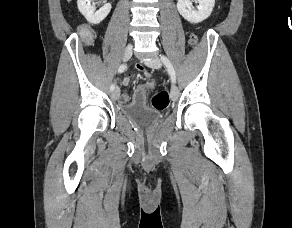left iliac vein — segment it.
Segmentation results:
<instances>
[{"instance_id": "obj_1", "label": "left iliac vein", "mask_w": 292, "mask_h": 228, "mask_svg": "<svg viewBox=\"0 0 292 228\" xmlns=\"http://www.w3.org/2000/svg\"><path fill=\"white\" fill-rule=\"evenodd\" d=\"M145 64L151 68L159 69L162 66V62L158 57H154L151 60L145 61ZM179 96V89L173 85L170 90V97L173 101H176Z\"/></svg>"}]
</instances>
